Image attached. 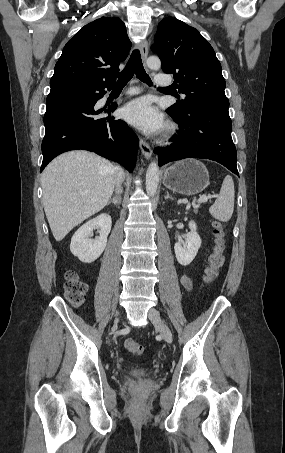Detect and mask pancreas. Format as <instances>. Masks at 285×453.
Listing matches in <instances>:
<instances>
[{"label":"pancreas","mask_w":285,"mask_h":453,"mask_svg":"<svg viewBox=\"0 0 285 453\" xmlns=\"http://www.w3.org/2000/svg\"><path fill=\"white\" fill-rule=\"evenodd\" d=\"M194 212H195V213H197V212H198V210H197V209H195V210H194Z\"/></svg>","instance_id":"pancreas-1"}]
</instances>
